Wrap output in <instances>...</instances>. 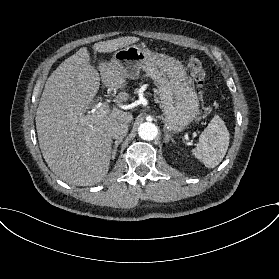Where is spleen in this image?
Masks as SVG:
<instances>
[{
  "label": "spleen",
  "mask_w": 279,
  "mask_h": 279,
  "mask_svg": "<svg viewBox=\"0 0 279 279\" xmlns=\"http://www.w3.org/2000/svg\"><path fill=\"white\" fill-rule=\"evenodd\" d=\"M230 134L219 116H214L199 137V143L192 150L194 156L206 167H216L224 158L229 147Z\"/></svg>",
  "instance_id": "obj_1"
}]
</instances>
